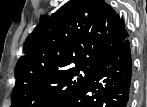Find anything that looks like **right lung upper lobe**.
<instances>
[{"label": "right lung upper lobe", "instance_id": "obj_1", "mask_svg": "<svg viewBox=\"0 0 147 107\" xmlns=\"http://www.w3.org/2000/svg\"><path fill=\"white\" fill-rule=\"evenodd\" d=\"M128 37L125 24L104 0H70L41 18L27 37L15 74L97 67Z\"/></svg>", "mask_w": 147, "mask_h": 107}]
</instances>
